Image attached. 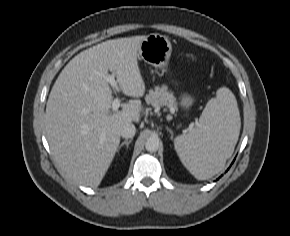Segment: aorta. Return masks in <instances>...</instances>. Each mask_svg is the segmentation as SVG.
<instances>
[{
	"label": "aorta",
	"mask_w": 290,
	"mask_h": 236,
	"mask_svg": "<svg viewBox=\"0 0 290 236\" xmlns=\"http://www.w3.org/2000/svg\"><path fill=\"white\" fill-rule=\"evenodd\" d=\"M145 148L148 152H156L159 148V139L156 137H150L145 142Z\"/></svg>",
	"instance_id": "aorta-1"
}]
</instances>
